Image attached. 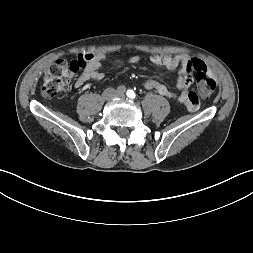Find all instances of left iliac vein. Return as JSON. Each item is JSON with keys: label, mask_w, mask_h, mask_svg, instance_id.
I'll return each mask as SVG.
<instances>
[{"label": "left iliac vein", "mask_w": 253, "mask_h": 253, "mask_svg": "<svg viewBox=\"0 0 253 253\" xmlns=\"http://www.w3.org/2000/svg\"><path fill=\"white\" fill-rule=\"evenodd\" d=\"M116 96L123 98V97H124V94H122V93H117Z\"/></svg>", "instance_id": "left-iliac-vein-1"}]
</instances>
